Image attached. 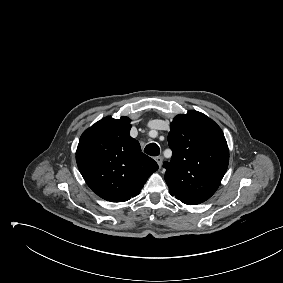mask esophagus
<instances>
[{"mask_svg":"<svg viewBox=\"0 0 283 283\" xmlns=\"http://www.w3.org/2000/svg\"><path fill=\"white\" fill-rule=\"evenodd\" d=\"M155 161L157 162V164L159 165V167L162 166L163 158H162L161 156L155 157Z\"/></svg>","mask_w":283,"mask_h":283,"instance_id":"esophagus-1","label":"esophagus"}]
</instances>
